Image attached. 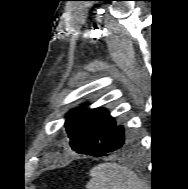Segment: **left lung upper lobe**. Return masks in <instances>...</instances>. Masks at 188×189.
I'll return each instance as SVG.
<instances>
[{
  "mask_svg": "<svg viewBox=\"0 0 188 189\" xmlns=\"http://www.w3.org/2000/svg\"><path fill=\"white\" fill-rule=\"evenodd\" d=\"M65 127L72 150L87 155L115 129L116 123L104 108H81L67 114Z\"/></svg>",
  "mask_w": 188,
  "mask_h": 189,
  "instance_id": "obj_1",
  "label": "left lung upper lobe"
}]
</instances>
